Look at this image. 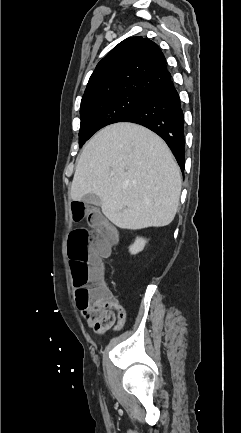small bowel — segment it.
<instances>
[{
  "mask_svg": "<svg viewBox=\"0 0 241 433\" xmlns=\"http://www.w3.org/2000/svg\"><path fill=\"white\" fill-rule=\"evenodd\" d=\"M106 296L98 299L93 305L82 312L83 317L89 326L98 335H103L107 330L113 328L118 331L123 328L126 322V311L115 299L110 286L102 282Z\"/></svg>",
  "mask_w": 241,
  "mask_h": 433,
  "instance_id": "c3829d8e",
  "label": "small bowel"
}]
</instances>
